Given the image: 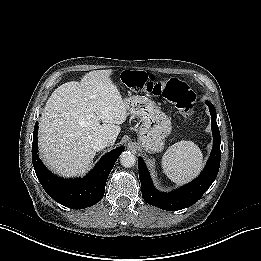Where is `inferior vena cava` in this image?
Segmentation results:
<instances>
[{
  "label": "inferior vena cava",
  "instance_id": "inferior-vena-cava-1",
  "mask_svg": "<svg viewBox=\"0 0 261 261\" xmlns=\"http://www.w3.org/2000/svg\"><path fill=\"white\" fill-rule=\"evenodd\" d=\"M109 145V139L106 136H98L93 140V148L95 151H100Z\"/></svg>",
  "mask_w": 261,
  "mask_h": 261
}]
</instances>
